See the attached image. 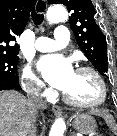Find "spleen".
<instances>
[{"mask_svg":"<svg viewBox=\"0 0 117 136\" xmlns=\"http://www.w3.org/2000/svg\"><path fill=\"white\" fill-rule=\"evenodd\" d=\"M91 113H96V111L92 110ZM102 117L105 119L107 125L110 127L112 132L117 135V125L114 118L109 114H102Z\"/></svg>","mask_w":117,"mask_h":136,"instance_id":"spleen-1","label":"spleen"}]
</instances>
